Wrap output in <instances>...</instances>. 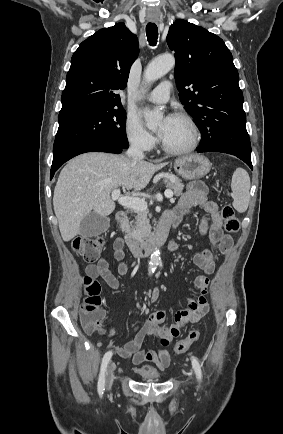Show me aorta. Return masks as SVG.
Listing matches in <instances>:
<instances>
[{
  "label": "aorta",
  "mask_w": 283,
  "mask_h": 434,
  "mask_svg": "<svg viewBox=\"0 0 283 434\" xmlns=\"http://www.w3.org/2000/svg\"><path fill=\"white\" fill-rule=\"evenodd\" d=\"M175 65L172 55H163L152 60L145 69L144 81L148 85L167 74ZM144 118L149 129H155L159 121L163 118V113L159 110L144 109ZM160 262V251L155 249L149 261V273H154Z\"/></svg>",
  "instance_id": "762f6f07"
}]
</instances>
